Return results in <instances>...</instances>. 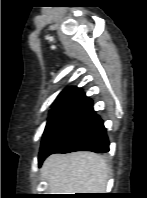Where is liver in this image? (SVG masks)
<instances>
[{"label":"liver","mask_w":147,"mask_h":198,"mask_svg":"<svg viewBox=\"0 0 147 198\" xmlns=\"http://www.w3.org/2000/svg\"><path fill=\"white\" fill-rule=\"evenodd\" d=\"M41 173L51 194L104 193L110 170L100 155L74 152L50 155Z\"/></svg>","instance_id":"obj_1"}]
</instances>
